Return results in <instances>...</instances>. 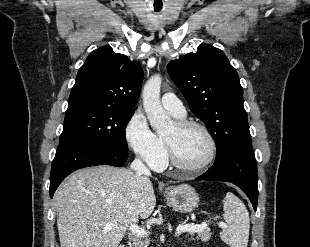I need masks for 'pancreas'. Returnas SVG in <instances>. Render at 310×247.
<instances>
[{
  "label": "pancreas",
  "instance_id": "obj_1",
  "mask_svg": "<svg viewBox=\"0 0 310 247\" xmlns=\"http://www.w3.org/2000/svg\"><path fill=\"white\" fill-rule=\"evenodd\" d=\"M191 235L193 233H190ZM211 232H210V229L209 228H205L199 232H197V236H196V239L197 240H202L203 242H207L210 237H211ZM148 244L146 242H143L141 240H139L138 238H136L134 240V243H133V246L132 247H147Z\"/></svg>",
  "mask_w": 310,
  "mask_h": 247
}]
</instances>
